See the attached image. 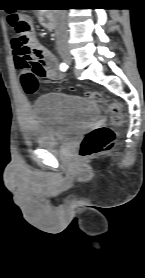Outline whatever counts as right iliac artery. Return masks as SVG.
I'll return each mask as SVG.
<instances>
[{
    "instance_id": "1",
    "label": "right iliac artery",
    "mask_w": 145,
    "mask_h": 278,
    "mask_svg": "<svg viewBox=\"0 0 145 278\" xmlns=\"http://www.w3.org/2000/svg\"><path fill=\"white\" fill-rule=\"evenodd\" d=\"M67 68H68V65H67L66 63H61V64H60V69H61L62 71H66Z\"/></svg>"
}]
</instances>
